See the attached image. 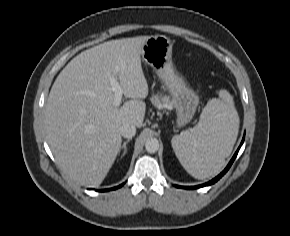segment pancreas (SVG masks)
<instances>
[{"label": "pancreas", "mask_w": 290, "mask_h": 236, "mask_svg": "<svg viewBox=\"0 0 290 236\" xmlns=\"http://www.w3.org/2000/svg\"><path fill=\"white\" fill-rule=\"evenodd\" d=\"M151 102L157 108H169L172 106L169 97L163 95L153 96Z\"/></svg>", "instance_id": "cf45deb5"}]
</instances>
